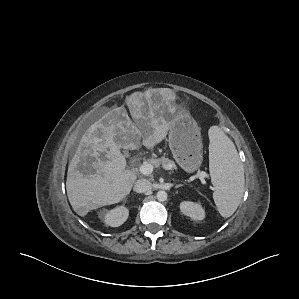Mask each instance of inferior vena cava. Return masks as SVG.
Listing matches in <instances>:
<instances>
[{
	"instance_id": "602c4592",
	"label": "inferior vena cava",
	"mask_w": 299,
	"mask_h": 299,
	"mask_svg": "<svg viewBox=\"0 0 299 299\" xmlns=\"http://www.w3.org/2000/svg\"><path fill=\"white\" fill-rule=\"evenodd\" d=\"M152 189V183L147 179H138L134 185V191L137 193H147Z\"/></svg>"
}]
</instances>
